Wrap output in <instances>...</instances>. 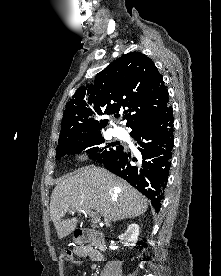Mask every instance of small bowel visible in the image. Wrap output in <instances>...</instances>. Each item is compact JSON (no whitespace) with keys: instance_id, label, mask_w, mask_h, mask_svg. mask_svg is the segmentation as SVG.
<instances>
[{"instance_id":"c3829d8e","label":"small bowel","mask_w":221,"mask_h":276,"mask_svg":"<svg viewBox=\"0 0 221 276\" xmlns=\"http://www.w3.org/2000/svg\"><path fill=\"white\" fill-rule=\"evenodd\" d=\"M76 256L81 257V258H89L92 261H101L102 260V255L101 253L97 252L91 247H76L74 250ZM76 265H79V261L74 262Z\"/></svg>"}]
</instances>
